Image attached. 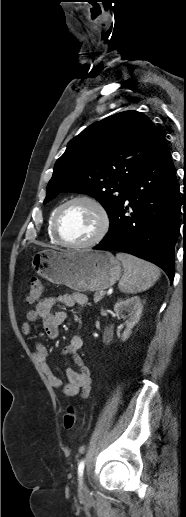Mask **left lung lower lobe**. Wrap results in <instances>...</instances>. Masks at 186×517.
I'll list each match as a JSON object with an SVG mask.
<instances>
[{"label":"left lung lower lobe","instance_id":"0a47b994","mask_svg":"<svg viewBox=\"0 0 186 517\" xmlns=\"http://www.w3.org/2000/svg\"><path fill=\"white\" fill-rule=\"evenodd\" d=\"M125 201L110 218L108 233L93 249L118 250L153 262L172 283L181 204L176 170L165 139L128 183ZM129 207L132 212L126 216Z\"/></svg>","mask_w":186,"mask_h":517}]
</instances>
